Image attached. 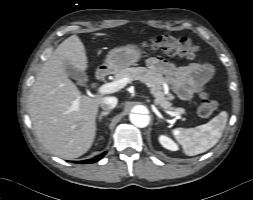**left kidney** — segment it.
Returning a JSON list of instances; mask_svg holds the SVG:
<instances>
[{
  "instance_id": "5707ae66",
  "label": "left kidney",
  "mask_w": 253,
  "mask_h": 200,
  "mask_svg": "<svg viewBox=\"0 0 253 200\" xmlns=\"http://www.w3.org/2000/svg\"><path fill=\"white\" fill-rule=\"evenodd\" d=\"M158 139H159L160 144L164 148H166L168 150H171V151L179 150L178 145L171 138H169L168 136L160 135Z\"/></svg>"
}]
</instances>
